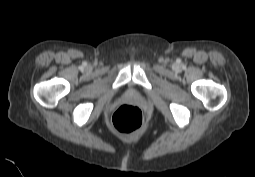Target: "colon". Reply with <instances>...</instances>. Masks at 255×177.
<instances>
[{
  "label": "colon",
  "mask_w": 255,
  "mask_h": 177,
  "mask_svg": "<svg viewBox=\"0 0 255 177\" xmlns=\"http://www.w3.org/2000/svg\"><path fill=\"white\" fill-rule=\"evenodd\" d=\"M111 123L120 133H133L142 126L143 116L136 105L123 104L114 112Z\"/></svg>",
  "instance_id": "1"
}]
</instances>
